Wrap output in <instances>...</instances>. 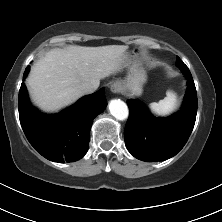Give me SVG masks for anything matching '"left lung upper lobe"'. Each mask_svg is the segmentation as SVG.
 I'll return each instance as SVG.
<instances>
[{
	"label": "left lung upper lobe",
	"mask_w": 222,
	"mask_h": 222,
	"mask_svg": "<svg viewBox=\"0 0 222 222\" xmlns=\"http://www.w3.org/2000/svg\"><path fill=\"white\" fill-rule=\"evenodd\" d=\"M176 66L181 70V71H184V70H187L188 67L181 61V59L179 57H177L176 59Z\"/></svg>",
	"instance_id": "obj_1"
}]
</instances>
